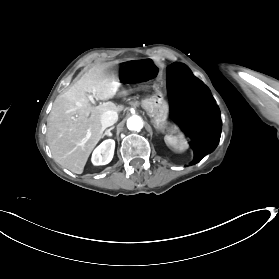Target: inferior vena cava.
Wrapping results in <instances>:
<instances>
[{"instance_id":"1","label":"inferior vena cava","mask_w":279,"mask_h":279,"mask_svg":"<svg viewBox=\"0 0 279 279\" xmlns=\"http://www.w3.org/2000/svg\"><path fill=\"white\" fill-rule=\"evenodd\" d=\"M101 123H102V130L105 128L112 126L117 120L118 115L117 112L113 110H108L106 112H103V115H101Z\"/></svg>"}]
</instances>
